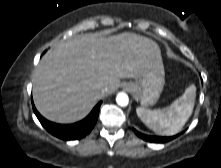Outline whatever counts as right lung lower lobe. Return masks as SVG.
Here are the masks:
<instances>
[{
    "label": "right lung lower lobe",
    "mask_w": 221,
    "mask_h": 168,
    "mask_svg": "<svg viewBox=\"0 0 221 168\" xmlns=\"http://www.w3.org/2000/svg\"><path fill=\"white\" fill-rule=\"evenodd\" d=\"M101 103L102 102H99L85 119L80 122L68 125L56 124L46 120L38 113L33 104V101L32 106L34 113L36 114L40 123L49 133L63 140H76L83 138L93 129L99 115Z\"/></svg>",
    "instance_id": "right-lung-lower-lobe-1"
}]
</instances>
